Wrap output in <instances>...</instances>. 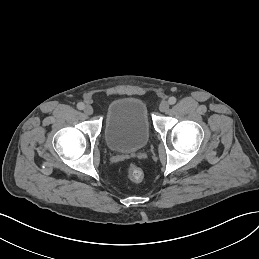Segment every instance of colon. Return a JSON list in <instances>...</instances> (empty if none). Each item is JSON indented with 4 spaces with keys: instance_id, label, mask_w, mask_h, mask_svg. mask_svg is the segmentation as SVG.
Returning a JSON list of instances; mask_svg holds the SVG:
<instances>
[{
    "instance_id": "obj_1",
    "label": "colon",
    "mask_w": 259,
    "mask_h": 259,
    "mask_svg": "<svg viewBox=\"0 0 259 259\" xmlns=\"http://www.w3.org/2000/svg\"><path fill=\"white\" fill-rule=\"evenodd\" d=\"M127 176L132 182H140L143 179V171L136 165H130L127 170Z\"/></svg>"
}]
</instances>
